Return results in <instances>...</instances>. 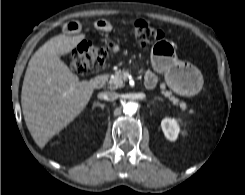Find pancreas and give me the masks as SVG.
<instances>
[{
  "label": "pancreas",
  "instance_id": "cf45deb5",
  "mask_svg": "<svg viewBox=\"0 0 245 195\" xmlns=\"http://www.w3.org/2000/svg\"><path fill=\"white\" fill-rule=\"evenodd\" d=\"M124 73H125L124 70L122 71L118 70L109 77L108 84L111 89H117L124 86L123 83ZM160 90L164 97L168 98L174 105L179 106L182 111H185L187 109V106L184 102H179V99L173 96L171 91L166 90L165 84L160 85ZM189 113L192 114L193 111L190 110Z\"/></svg>",
  "mask_w": 245,
  "mask_h": 195
}]
</instances>
